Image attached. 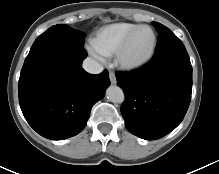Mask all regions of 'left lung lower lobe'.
<instances>
[{"label": "left lung lower lobe", "mask_w": 219, "mask_h": 174, "mask_svg": "<svg viewBox=\"0 0 219 174\" xmlns=\"http://www.w3.org/2000/svg\"><path fill=\"white\" fill-rule=\"evenodd\" d=\"M116 79L125 93L121 113L130 133L155 140L183 120L192 92V66L186 49L155 53L146 66L116 73Z\"/></svg>", "instance_id": "0a47b994"}]
</instances>
